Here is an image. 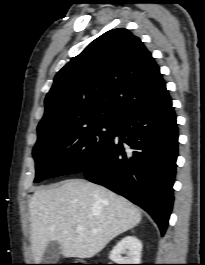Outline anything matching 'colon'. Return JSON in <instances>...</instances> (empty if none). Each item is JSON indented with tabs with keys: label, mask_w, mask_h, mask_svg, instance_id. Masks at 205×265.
I'll return each mask as SVG.
<instances>
[{
	"label": "colon",
	"mask_w": 205,
	"mask_h": 265,
	"mask_svg": "<svg viewBox=\"0 0 205 265\" xmlns=\"http://www.w3.org/2000/svg\"><path fill=\"white\" fill-rule=\"evenodd\" d=\"M72 265H86V264H72Z\"/></svg>",
	"instance_id": "colon-1"
}]
</instances>
